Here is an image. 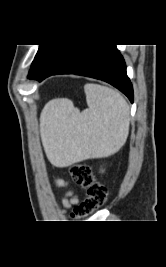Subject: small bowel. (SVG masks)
I'll use <instances>...</instances> for the list:
<instances>
[{"label": "small bowel", "mask_w": 166, "mask_h": 267, "mask_svg": "<svg viewBox=\"0 0 166 267\" xmlns=\"http://www.w3.org/2000/svg\"><path fill=\"white\" fill-rule=\"evenodd\" d=\"M55 182L59 186H64L65 184L64 181L61 179H56ZM76 201L77 199L71 193H68L63 202H64L65 207H69L70 205L74 204Z\"/></svg>", "instance_id": "1"}]
</instances>
